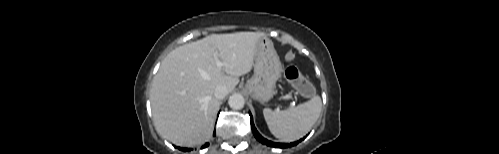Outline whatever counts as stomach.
Instances as JSON below:
<instances>
[{
	"instance_id": "1",
	"label": "stomach",
	"mask_w": 499,
	"mask_h": 154,
	"mask_svg": "<svg viewBox=\"0 0 499 154\" xmlns=\"http://www.w3.org/2000/svg\"><path fill=\"white\" fill-rule=\"evenodd\" d=\"M281 76V63L267 37L261 38L257 45L254 74L246 83L248 94L260 103L268 102L274 95L275 85Z\"/></svg>"
}]
</instances>
